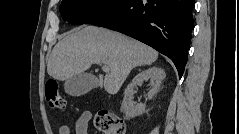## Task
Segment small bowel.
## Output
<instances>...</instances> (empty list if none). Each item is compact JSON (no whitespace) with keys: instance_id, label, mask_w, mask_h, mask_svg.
<instances>
[{"instance_id":"small-bowel-1","label":"small bowel","mask_w":239,"mask_h":134,"mask_svg":"<svg viewBox=\"0 0 239 134\" xmlns=\"http://www.w3.org/2000/svg\"><path fill=\"white\" fill-rule=\"evenodd\" d=\"M92 114L90 111H83L75 123V134H87L88 125L91 120ZM59 134H72V130L67 125H61L58 130Z\"/></svg>"}]
</instances>
